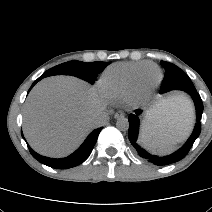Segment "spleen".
I'll return each instance as SVG.
<instances>
[{"mask_svg": "<svg viewBox=\"0 0 212 212\" xmlns=\"http://www.w3.org/2000/svg\"><path fill=\"white\" fill-rule=\"evenodd\" d=\"M176 98L188 110L192 111V105L186 97L176 96ZM140 141L145 147L152 151L159 153H169L174 150L175 145L181 140L172 134H160L157 132L148 131L145 128L144 122Z\"/></svg>", "mask_w": 212, "mask_h": 212, "instance_id": "spleen-1", "label": "spleen"}]
</instances>
